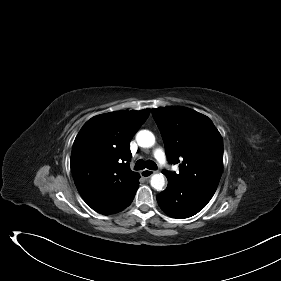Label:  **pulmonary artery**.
Segmentation results:
<instances>
[{"instance_id":"e3ab8cb5","label":"pulmonary artery","mask_w":281,"mask_h":281,"mask_svg":"<svg viewBox=\"0 0 281 281\" xmlns=\"http://www.w3.org/2000/svg\"><path fill=\"white\" fill-rule=\"evenodd\" d=\"M154 157L159 161V163L162 166H164V167L168 166L166 156H165L164 152L161 149H156L154 151Z\"/></svg>"}]
</instances>
